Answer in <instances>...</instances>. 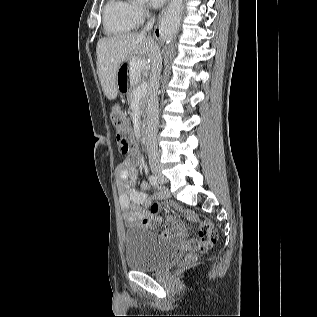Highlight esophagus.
<instances>
[{"label": "esophagus", "mask_w": 317, "mask_h": 317, "mask_svg": "<svg viewBox=\"0 0 317 317\" xmlns=\"http://www.w3.org/2000/svg\"><path fill=\"white\" fill-rule=\"evenodd\" d=\"M159 36L161 37L162 36V33H161V31L159 30Z\"/></svg>", "instance_id": "34e87169"}]
</instances>
